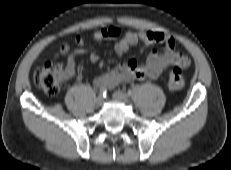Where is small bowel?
Wrapping results in <instances>:
<instances>
[{
    "mask_svg": "<svg viewBox=\"0 0 231 170\" xmlns=\"http://www.w3.org/2000/svg\"><path fill=\"white\" fill-rule=\"evenodd\" d=\"M121 33L122 31L120 28L110 26L95 31L92 38L94 41L98 42L114 39L120 36ZM75 43L77 48L68 52L67 63L64 68L66 75L64 81L74 77L77 58L87 53L84 48V39L81 35L76 36ZM138 43H141L143 47L158 45L162 48V52L152 50L146 62L142 65L138 64L133 59L120 62L112 70L96 77L93 82L94 85L96 87L113 88L123 82H131L146 78L156 79L171 66L185 68L190 64V59L182 52L176 50V43L173 37L154 31L125 32L116 43L115 52L120 58L127 53L131 47ZM89 59L91 62L96 63L99 60V56L94 52H90Z\"/></svg>",
    "mask_w": 231,
    "mask_h": 170,
    "instance_id": "small-bowel-1",
    "label": "small bowel"
}]
</instances>
